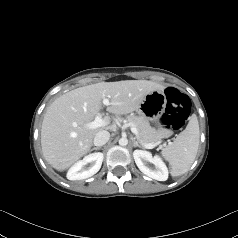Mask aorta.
Masks as SVG:
<instances>
[{
  "label": "aorta",
  "instance_id": "aorta-1",
  "mask_svg": "<svg viewBox=\"0 0 238 238\" xmlns=\"http://www.w3.org/2000/svg\"><path fill=\"white\" fill-rule=\"evenodd\" d=\"M128 144V140L125 137L120 138L119 145L126 146Z\"/></svg>",
  "mask_w": 238,
  "mask_h": 238
}]
</instances>
